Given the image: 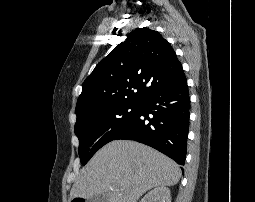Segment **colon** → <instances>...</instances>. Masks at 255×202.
<instances>
[{"label": "colon", "instance_id": "5ec220e1", "mask_svg": "<svg viewBox=\"0 0 255 202\" xmlns=\"http://www.w3.org/2000/svg\"><path fill=\"white\" fill-rule=\"evenodd\" d=\"M73 202H84L82 199H76Z\"/></svg>", "mask_w": 255, "mask_h": 202}]
</instances>
